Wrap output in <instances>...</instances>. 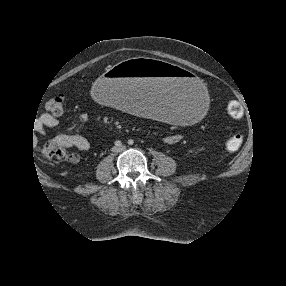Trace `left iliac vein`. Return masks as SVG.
I'll list each match as a JSON object with an SVG mask.
<instances>
[{
	"label": "left iliac vein",
	"instance_id": "left-iliac-vein-1",
	"mask_svg": "<svg viewBox=\"0 0 286 286\" xmlns=\"http://www.w3.org/2000/svg\"><path fill=\"white\" fill-rule=\"evenodd\" d=\"M125 149H126L125 146H122V147L119 148L120 151H124Z\"/></svg>",
	"mask_w": 286,
	"mask_h": 286
}]
</instances>
